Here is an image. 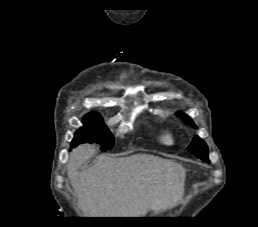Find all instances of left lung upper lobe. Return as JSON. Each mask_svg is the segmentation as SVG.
Segmentation results:
<instances>
[{
	"label": "left lung upper lobe",
	"mask_w": 258,
	"mask_h": 227,
	"mask_svg": "<svg viewBox=\"0 0 258 227\" xmlns=\"http://www.w3.org/2000/svg\"><path fill=\"white\" fill-rule=\"evenodd\" d=\"M185 123L191 125L196 128L194 122L184 113L178 112L176 113ZM188 151L197 156L198 158L210 162L208 159V148L206 143L199 136H195L192 143L188 146Z\"/></svg>",
	"instance_id": "left-lung-upper-lobe-1"
}]
</instances>
